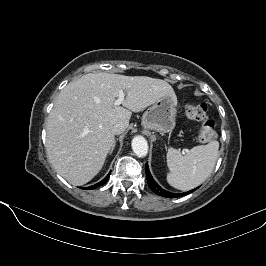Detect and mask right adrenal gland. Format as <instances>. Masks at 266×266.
<instances>
[{"instance_id": "obj_1", "label": "right adrenal gland", "mask_w": 266, "mask_h": 266, "mask_svg": "<svg viewBox=\"0 0 266 266\" xmlns=\"http://www.w3.org/2000/svg\"><path fill=\"white\" fill-rule=\"evenodd\" d=\"M115 143H116V141H115ZM114 147H115V144H114L113 148L111 149L110 154L113 152Z\"/></svg>"}]
</instances>
